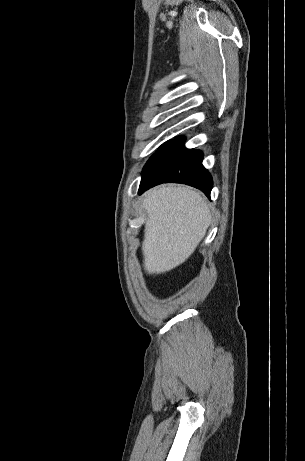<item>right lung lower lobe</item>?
Returning <instances> with one entry per match:
<instances>
[{
    "label": "right lung lower lobe",
    "mask_w": 305,
    "mask_h": 461,
    "mask_svg": "<svg viewBox=\"0 0 305 461\" xmlns=\"http://www.w3.org/2000/svg\"><path fill=\"white\" fill-rule=\"evenodd\" d=\"M202 160L201 151L185 148L181 140L167 141L143 168L139 194L155 185L174 182L196 187L210 197L212 177Z\"/></svg>",
    "instance_id": "right-lung-lower-lobe-1"
}]
</instances>
